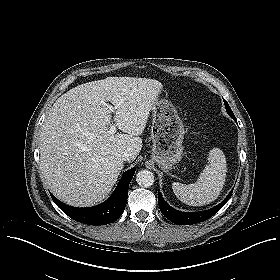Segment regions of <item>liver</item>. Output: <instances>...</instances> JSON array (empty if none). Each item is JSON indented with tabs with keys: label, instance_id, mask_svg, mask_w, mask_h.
I'll use <instances>...</instances> for the list:
<instances>
[{
	"label": "liver",
	"instance_id": "1",
	"mask_svg": "<svg viewBox=\"0 0 280 280\" xmlns=\"http://www.w3.org/2000/svg\"><path fill=\"white\" fill-rule=\"evenodd\" d=\"M163 85L155 79L107 77L76 86L60 96L40 133V170L50 191L62 202L88 207L112 190L124 152L136 159L143 133ZM107 102L123 134H109Z\"/></svg>",
	"mask_w": 280,
	"mask_h": 280
}]
</instances>
